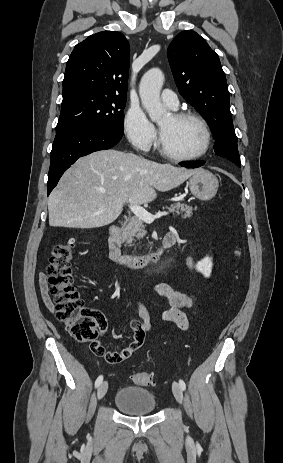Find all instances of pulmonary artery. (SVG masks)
<instances>
[{
	"label": "pulmonary artery",
	"instance_id": "e3ab8cb5",
	"mask_svg": "<svg viewBox=\"0 0 283 463\" xmlns=\"http://www.w3.org/2000/svg\"><path fill=\"white\" fill-rule=\"evenodd\" d=\"M161 99L172 110H175L179 106L178 97L175 92L170 89H164L161 93Z\"/></svg>",
	"mask_w": 283,
	"mask_h": 463
}]
</instances>
